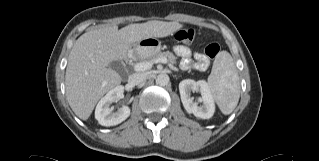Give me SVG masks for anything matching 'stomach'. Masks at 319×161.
Wrapping results in <instances>:
<instances>
[{
	"instance_id": "1",
	"label": "stomach",
	"mask_w": 319,
	"mask_h": 161,
	"mask_svg": "<svg viewBox=\"0 0 319 161\" xmlns=\"http://www.w3.org/2000/svg\"><path fill=\"white\" fill-rule=\"evenodd\" d=\"M160 49L161 42L156 37L145 38L135 44L136 54L143 59L154 56Z\"/></svg>"
}]
</instances>
